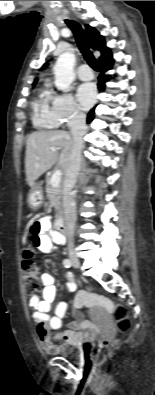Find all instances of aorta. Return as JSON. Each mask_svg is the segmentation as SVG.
I'll list each match as a JSON object with an SVG mask.
<instances>
[{"label":"aorta","instance_id":"aorta-1","mask_svg":"<svg viewBox=\"0 0 155 395\" xmlns=\"http://www.w3.org/2000/svg\"><path fill=\"white\" fill-rule=\"evenodd\" d=\"M75 55L71 52L61 54L54 66L55 85L58 89L68 91L74 80Z\"/></svg>","mask_w":155,"mask_h":395}]
</instances>
